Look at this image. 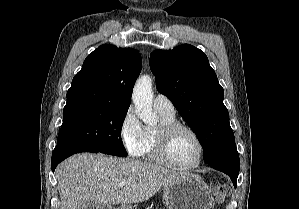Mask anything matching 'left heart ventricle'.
<instances>
[{
  "label": "left heart ventricle",
  "mask_w": 299,
  "mask_h": 209,
  "mask_svg": "<svg viewBox=\"0 0 299 209\" xmlns=\"http://www.w3.org/2000/svg\"><path fill=\"white\" fill-rule=\"evenodd\" d=\"M199 155V146L194 137L180 131L175 134L170 144V156L178 164L191 165L195 163Z\"/></svg>",
  "instance_id": "left-heart-ventricle-1"
}]
</instances>
